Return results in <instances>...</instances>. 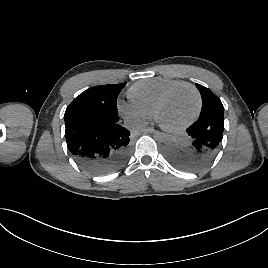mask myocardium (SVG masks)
<instances>
[{"label": "myocardium", "instance_id": "myocardium-1", "mask_svg": "<svg viewBox=\"0 0 268 268\" xmlns=\"http://www.w3.org/2000/svg\"><path fill=\"white\" fill-rule=\"evenodd\" d=\"M190 88L196 95L197 98V107H196V111L193 114V116L188 119L187 121H185L184 123L178 125V126H168L165 125L164 123H162L159 119V111L161 109V107L163 106V104L169 99V97H171L176 91H178L181 88ZM202 109V96L199 92V90L191 83H187V82H182L179 83L177 85H174L173 87L169 88L157 101L155 107H154V118L156 120V122L159 124L160 127H162L163 129L167 130V131H180L185 129L186 127L190 126L191 124H193L197 118L200 115Z\"/></svg>", "mask_w": 268, "mask_h": 268}]
</instances>
